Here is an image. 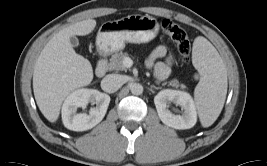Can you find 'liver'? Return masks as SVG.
Instances as JSON below:
<instances>
[{"instance_id": "1", "label": "liver", "mask_w": 267, "mask_h": 166, "mask_svg": "<svg viewBox=\"0 0 267 166\" xmlns=\"http://www.w3.org/2000/svg\"><path fill=\"white\" fill-rule=\"evenodd\" d=\"M95 27L96 21L87 19L62 29L48 41L35 63V100L41 113L52 123L57 121L65 98L93 79L91 63L75 52L70 37L88 35Z\"/></svg>"}]
</instances>
